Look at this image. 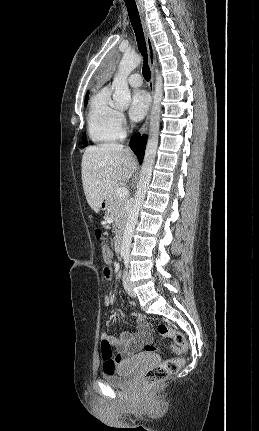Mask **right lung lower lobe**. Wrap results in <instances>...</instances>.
Here are the masks:
<instances>
[{
	"mask_svg": "<svg viewBox=\"0 0 259 431\" xmlns=\"http://www.w3.org/2000/svg\"><path fill=\"white\" fill-rule=\"evenodd\" d=\"M146 146V136H140L138 133L131 138L130 147L137 155L140 163L143 161Z\"/></svg>",
	"mask_w": 259,
	"mask_h": 431,
	"instance_id": "right-lung-lower-lobe-1",
	"label": "right lung lower lobe"
}]
</instances>
